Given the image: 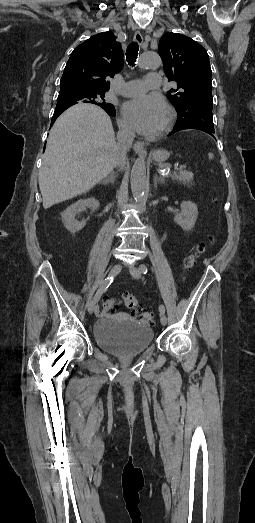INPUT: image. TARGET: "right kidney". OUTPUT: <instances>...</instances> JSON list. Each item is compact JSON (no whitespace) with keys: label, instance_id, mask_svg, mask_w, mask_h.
Returning a JSON list of instances; mask_svg holds the SVG:
<instances>
[{"label":"right kidney","instance_id":"right-kidney-1","mask_svg":"<svg viewBox=\"0 0 255 523\" xmlns=\"http://www.w3.org/2000/svg\"><path fill=\"white\" fill-rule=\"evenodd\" d=\"M85 208H92V210H97L99 208V202L98 200H95V198H87V200H78L76 204H72V206H69L62 216L63 224L68 230V232H71V234H75V232H79V230H82L84 226H86V220H82V222H78L76 220L75 216L76 214H79V212H83Z\"/></svg>","mask_w":255,"mask_h":523}]
</instances>
